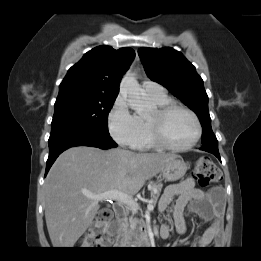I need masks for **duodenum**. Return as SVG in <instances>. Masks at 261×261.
<instances>
[{
	"mask_svg": "<svg viewBox=\"0 0 261 261\" xmlns=\"http://www.w3.org/2000/svg\"><path fill=\"white\" fill-rule=\"evenodd\" d=\"M122 215V212L120 213ZM121 224L118 221L111 222L107 225L105 230L106 240L105 243L107 245L118 246L119 241L117 239V234L120 231ZM135 242L142 245H147L149 243V237L146 231H142L136 238Z\"/></svg>",
	"mask_w": 261,
	"mask_h": 261,
	"instance_id": "1",
	"label": "duodenum"
}]
</instances>
